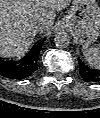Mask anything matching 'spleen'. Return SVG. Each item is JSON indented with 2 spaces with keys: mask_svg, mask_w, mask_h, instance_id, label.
<instances>
[{
  "mask_svg": "<svg viewBox=\"0 0 100 118\" xmlns=\"http://www.w3.org/2000/svg\"><path fill=\"white\" fill-rule=\"evenodd\" d=\"M82 52L86 59V61L90 64V66L98 69L100 67V48H89L86 45L82 46Z\"/></svg>",
  "mask_w": 100,
  "mask_h": 118,
  "instance_id": "3e777b00",
  "label": "spleen"
}]
</instances>
